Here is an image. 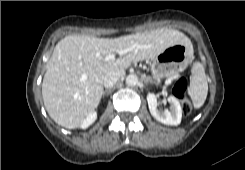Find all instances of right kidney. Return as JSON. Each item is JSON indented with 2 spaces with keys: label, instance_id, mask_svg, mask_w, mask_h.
Instances as JSON below:
<instances>
[{
  "label": "right kidney",
  "instance_id": "1",
  "mask_svg": "<svg viewBox=\"0 0 245 170\" xmlns=\"http://www.w3.org/2000/svg\"><path fill=\"white\" fill-rule=\"evenodd\" d=\"M97 118V113L93 112L91 113L89 116L86 117V119L81 123L80 127L82 129L87 128L88 126H90Z\"/></svg>",
  "mask_w": 245,
  "mask_h": 170
}]
</instances>
